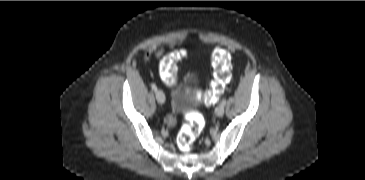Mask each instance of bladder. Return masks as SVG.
<instances>
[{
	"instance_id": "obj_1",
	"label": "bladder",
	"mask_w": 365,
	"mask_h": 180,
	"mask_svg": "<svg viewBox=\"0 0 365 180\" xmlns=\"http://www.w3.org/2000/svg\"><path fill=\"white\" fill-rule=\"evenodd\" d=\"M197 85L196 77L186 72L182 76V82L172 86L170 105L172 111L177 114H186L198 109L200 99L194 91Z\"/></svg>"
}]
</instances>
